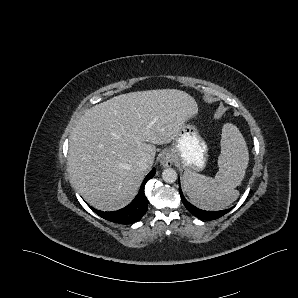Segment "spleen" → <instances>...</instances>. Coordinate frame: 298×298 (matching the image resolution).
I'll list each match as a JSON object with an SVG mask.
<instances>
[{"instance_id":"3e777b00","label":"spleen","mask_w":298,"mask_h":298,"mask_svg":"<svg viewBox=\"0 0 298 298\" xmlns=\"http://www.w3.org/2000/svg\"><path fill=\"white\" fill-rule=\"evenodd\" d=\"M219 170L214 178L185 171L184 190L197 208L206 211H221L239 198L249 165L250 154L240 128L234 123H225L221 134Z\"/></svg>"}]
</instances>
